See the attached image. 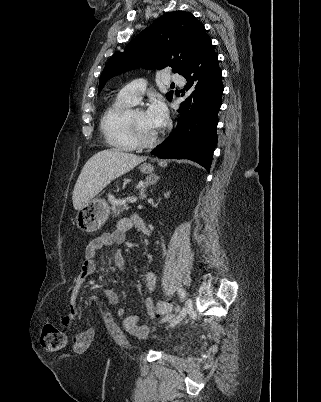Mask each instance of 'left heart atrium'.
Segmentation results:
<instances>
[{"mask_svg": "<svg viewBox=\"0 0 321 402\" xmlns=\"http://www.w3.org/2000/svg\"><path fill=\"white\" fill-rule=\"evenodd\" d=\"M166 117V107L159 100L152 101L145 112V119L148 125L156 130H158L164 124Z\"/></svg>", "mask_w": 321, "mask_h": 402, "instance_id": "39dd6f15", "label": "left heart atrium"}]
</instances>
